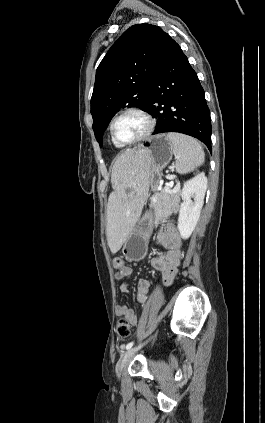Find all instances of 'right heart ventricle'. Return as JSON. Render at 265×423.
I'll use <instances>...</instances> for the list:
<instances>
[{
    "instance_id": "1",
    "label": "right heart ventricle",
    "mask_w": 265,
    "mask_h": 423,
    "mask_svg": "<svg viewBox=\"0 0 265 423\" xmlns=\"http://www.w3.org/2000/svg\"><path fill=\"white\" fill-rule=\"evenodd\" d=\"M113 143H114V145H115L117 148H121V147H123V146H120V145L116 144L115 142H113Z\"/></svg>"
}]
</instances>
